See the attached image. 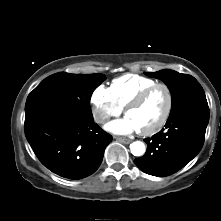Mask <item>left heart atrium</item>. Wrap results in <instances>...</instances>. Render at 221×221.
I'll return each instance as SVG.
<instances>
[{
  "instance_id": "1",
  "label": "left heart atrium",
  "mask_w": 221,
  "mask_h": 221,
  "mask_svg": "<svg viewBox=\"0 0 221 221\" xmlns=\"http://www.w3.org/2000/svg\"><path fill=\"white\" fill-rule=\"evenodd\" d=\"M106 129L116 134H129L139 130L136 124L128 117L112 121L106 126Z\"/></svg>"
}]
</instances>
